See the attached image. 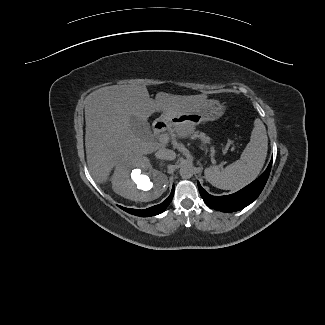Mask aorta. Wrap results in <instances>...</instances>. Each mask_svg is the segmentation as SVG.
I'll use <instances>...</instances> for the list:
<instances>
[{
    "label": "aorta",
    "mask_w": 325,
    "mask_h": 325,
    "mask_svg": "<svg viewBox=\"0 0 325 325\" xmlns=\"http://www.w3.org/2000/svg\"><path fill=\"white\" fill-rule=\"evenodd\" d=\"M194 170L190 165H183L180 168V176L184 179H189L193 176Z\"/></svg>",
    "instance_id": "762f6f07"
}]
</instances>
